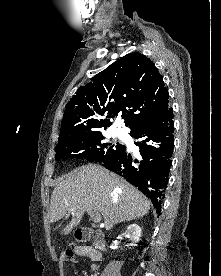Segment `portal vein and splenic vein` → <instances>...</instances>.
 I'll list each match as a JSON object with an SVG mask.
<instances>
[{
  "label": "portal vein and splenic vein",
  "mask_w": 221,
  "mask_h": 276,
  "mask_svg": "<svg viewBox=\"0 0 221 276\" xmlns=\"http://www.w3.org/2000/svg\"><path fill=\"white\" fill-rule=\"evenodd\" d=\"M88 214L90 215L94 223H99L101 221V215L99 213L89 211Z\"/></svg>",
  "instance_id": "portal-vein-and-splenic-vein-1"
}]
</instances>
